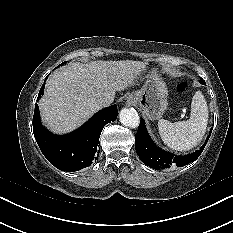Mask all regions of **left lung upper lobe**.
<instances>
[{"label":"left lung upper lobe","instance_id":"left-lung-upper-lobe-1","mask_svg":"<svg viewBox=\"0 0 233 233\" xmlns=\"http://www.w3.org/2000/svg\"><path fill=\"white\" fill-rule=\"evenodd\" d=\"M200 83L205 84V81L202 78H200Z\"/></svg>","mask_w":233,"mask_h":233}]
</instances>
